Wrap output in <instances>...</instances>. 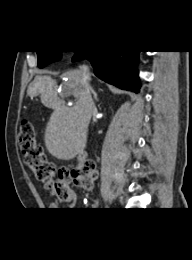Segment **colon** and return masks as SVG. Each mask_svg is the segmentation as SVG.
Segmentation results:
<instances>
[{"label":"colon","mask_w":192,"mask_h":260,"mask_svg":"<svg viewBox=\"0 0 192 260\" xmlns=\"http://www.w3.org/2000/svg\"><path fill=\"white\" fill-rule=\"evenodd\" d=\"M18 143L24 161L36 180L43 183L57 199L65 200L69 196L72 181L83 190L88 191L93 188L97 177L96 164L83 156L73 168H61L57 171L39 145L31 122L23 121L21 123Z\"/></svg>","instance_id":"colon-1"}]
</instances>
